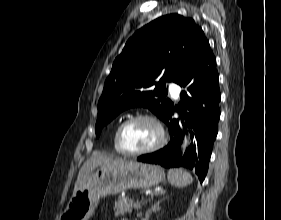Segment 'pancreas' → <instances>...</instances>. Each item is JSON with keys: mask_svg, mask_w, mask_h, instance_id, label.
I'll return each mask as SVG.
<instances>
[{"mask_svg": "<svg viewBox=\"0 0 281 220\" xmlns=\"http://www.w3.org/2000/svg\"><path fill=\"white\" fill-rule=\"evenodd\" d=\"M143 201H132L128 197L119 196L115 201L114 211L115 215H123L125 213H130L132 209H140Z\"/></svg>", "mask_w": 281, "mask_h": 220, "instance_id": "1", "label": "pancreas"}]
</instances>
